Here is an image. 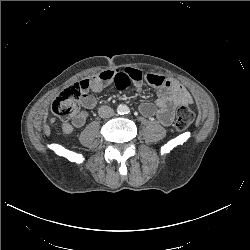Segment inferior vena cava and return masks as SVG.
Returning a JSON list of instances; mask_svg holds the SVG:
<instances>
[{
    "label": "inferior vena cava",
    "instance_id": "602c4592",
    "mask_svg": "<svg viewBox=\"0 0 250 250\" xmlns=\"http://www.w3.org/2000/svg\"><path fill=\"white\" fill-rule=\"evenodd\" d=\"M99 116L102 118H108L114 115V110L109 106H101L98 110Z\"/></svg>",
    "mask_w": 250,
    "mask_h": 250
}]
</instances>
